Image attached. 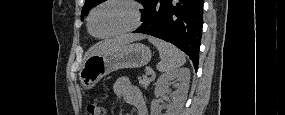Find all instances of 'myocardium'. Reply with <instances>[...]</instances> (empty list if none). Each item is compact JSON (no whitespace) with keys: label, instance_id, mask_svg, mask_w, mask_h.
<instances>
[{"label":"myocardium","instance_id":"myocardium-1","mask_svg":"<svg viewBox=\"0 0 285 115\" xmlns=\"http://www.w3.org/2000/svg\"><path fill=\"white\" fill-rule=\"evenodd\" d=\"M108 3H118V4H122V5L127 6L131 11L132 23L127 28H123V29L115 31V32H111V33H107V34H96L92 31V27H91L93 14L95 13V11L98 8H100L101 6L108 4ZM141 23H142L141 7L138 4V2L133 1V0H106V1H103L100 4L96 5L95 7H93L90 10L88 17H87V25H88L89 33L92 36L98 37V38H109V37L120 36V35H124L127 33H131L133 31L137 30L140 27Z\"/></svg>","mask_w":285,"mask_h":115}]
</instances>
